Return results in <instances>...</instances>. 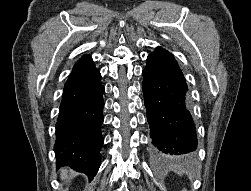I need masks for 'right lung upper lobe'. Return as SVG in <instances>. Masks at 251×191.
<instances>
[{
    "instance_id": "cb5924a9",
    "label": "right lung upper lobe",
    "mask_w": 251,
    "mask_h": 191,
    "mask_svg": "<svg viewBox=\"0 0 251 191\" xmlns=\"http://www.w3.org/2000/svg\"><path fill=\"white\" fill-rule=\"evenodd\" d=\"M98 73L90 55L82 56L74 65L65 86L84 80Z\"/></svg>"
}]
</instances>
